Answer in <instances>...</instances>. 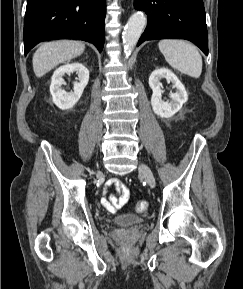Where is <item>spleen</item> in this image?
I'll use <instances>...</instances> for the list:
<instances>
[{
  "mask_svg": "<svg viewBox=\"0 0 243 289\" xmlns=\"http://www.w3.org/2000/svg\"><path fill=\"white\" fill-rule=\"evenodd\" d=\"M159 49L172 68L194 78L200 77L202 57L193 44L183 40L164 39L159 42Z\"/></svg>",
  "mask_w": 243,
  "mask_h": 289,
  "instance_id": "1",
  "label": "spleen"
}]
</instances>
